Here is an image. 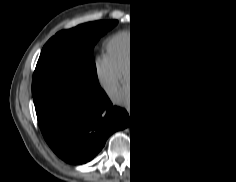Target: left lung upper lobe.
I'll list each match as a JSON object with an SVG mask.
<instances>
[{"label": "left lung upper lobe", "instance_id": "5c2ea615", "mask_svg": "<svg viewBox=\"0 0 236 182\" xmlns=\"http://www.w3.org/2000/svg\"><path fill=\"white\" fill-rule=\"evenodd\" d=\"M164 24L174 34L178 54L164 88L146 101L158 98L168 102L188 101L213 107L216 90L212 61L204 42L179 21L168 20Z\"/></svg>", "mask_w": 236, "mask_h": 182}]
</instances>
